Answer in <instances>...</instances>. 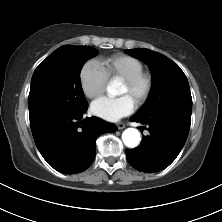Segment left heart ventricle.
I'll return each mask as SVG.
<instances>
[{
    "label": "left heart ventricle",
    "mask_w": 222,
    "mask_h": 222,
    "mask_svg": "<svg viewBox=\"0 0 222 222\" xmlns=\"http://www.w3.org/2000/svg\"><path fill=\"white\" fill-rule=\"evenodd\" d=\"M119 95H128L130 96L133 100L135 98V95L128 89V87L122 83L120 90H119Z\"/></svg>",
    "instance_id": "left-heart-ventricle-1"
}]
</instances>
